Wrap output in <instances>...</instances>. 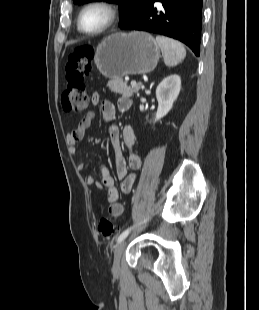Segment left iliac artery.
Here are the masks:
<instances>
[{
  "label": "left iliac artery",
  "instance_id": "44dca946",
  "mask_svg": "<svg viewBox=\"0 0 259 310\" xmlns=\"http://www.w3.org/2000/svg\"><path fill=\"white\" fill-rule=\"evenodd\" d=\"M143 222H146V220H144ZM131 229H132V227H130V228L126 229L125 231H123V232L119 235V237L117 238V242L119 243V242H121L122 240H124V239L127 237V235L129 234V232L131 231Z\"/></svg>",
  "mask_w": 259,
  "mask_h": 310
}]
</instances>
